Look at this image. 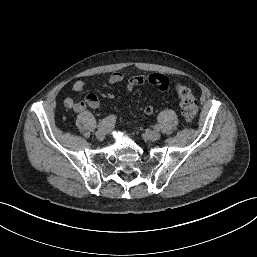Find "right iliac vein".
I'll list each match as a JSON object with an SVG mask.
<instances>
[{"label":"right iliac vein","mask_w":257,"mask_h":257,"mask_svg":"<svg viewBox=\"0 0 257 257\" xmlns=\"http://www.w3.org/2000/svg\"><path fill=\"white\" fill-rule=\"evenodd\" d=\"M107 130L105 128L97 130L95 136L98 140H103L105 138Z\"/></svg>","instance_id":"obj_1"}]
</instances>
